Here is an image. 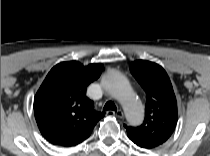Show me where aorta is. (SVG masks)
<instances>
[{
    "label": "aorta",
    "mask_w": 210,
    "mask_h": 156,
    "mask_svg": "<svg viewBox=\"0 0 210 156\" xmlns=\"http://www.w3.org/2000/svg\"><path fill=\"white\" fill-rule=\"evenodd\" d=\"M107 89L121 102L126 117L132 124H139L144 118V107L129 82L119 73L106 77Z\"/></svg>",
    "instance_id": "aorta-1"
}]
</instances>
